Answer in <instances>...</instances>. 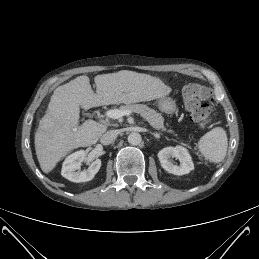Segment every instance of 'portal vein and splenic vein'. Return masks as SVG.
I'll list each match as a JSON object with an SVG mask.
<instances>
[{
  "mask_svg": "<svg viewBox=\"0 0 259 259\" xmlns=\"http://www.w3.org/2000/svg\"><path fill=\"white\" fill-rule=\"evenodd\" d=\"M131 114V111L128 110H119V109H110L108 110L105 115L108 118H113V119H119L123 116H128Z\"/></svg>",
  "mask_w": 259,
  "mask_h": 259,
  "instance_id": "1",
  "label": "portal vein and splenic vein"
}]
</instances>
